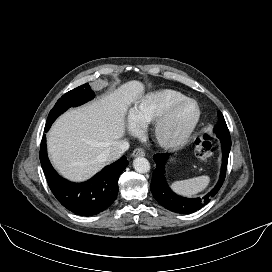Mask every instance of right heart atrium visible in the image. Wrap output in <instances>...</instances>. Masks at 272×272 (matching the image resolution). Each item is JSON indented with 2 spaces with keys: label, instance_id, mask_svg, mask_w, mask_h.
<instances>
[{
  "label": "right heart atrium",
  "instance_id": "1",
  "mask_svg": "<svg viewBox=\"0 0 272 272\" xmlns=\"http://www.w3.org/2000/svg\"><path fill=\"white\" fill-rule=\"evenodd\" d=\"M131 129H132V131H135V127L133 125L131 126Z\"/></svg>",
  "mask_w": 272,
  "mask_h": 272
}]
</instances>
